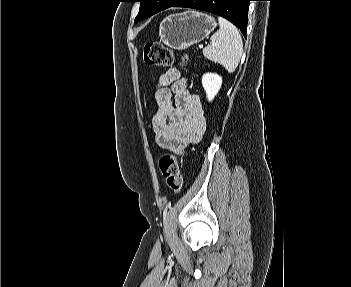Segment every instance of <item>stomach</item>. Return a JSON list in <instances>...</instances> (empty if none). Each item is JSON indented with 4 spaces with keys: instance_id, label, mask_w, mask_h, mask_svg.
<instances>
[{
    "instance_id": "0dacf381",
    "label": "stomach",
    "mask_w": 351,
    "mask_h": 287,
    "mask_svg": "<svg viewBox=\"0 0 351 287\" xmlns=\"http://www.w3.org/2000/svg\"><path fill=\"white\" fill-rule=\"evenodd\" d=\"M216 26L215 19L210 15L186 11L164 18L159 27V37L168 47L185 50L202 41Z\"/></svg>"
}]
</instances>
